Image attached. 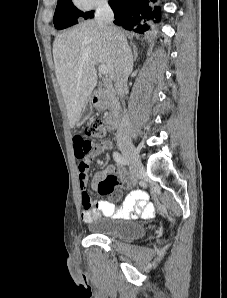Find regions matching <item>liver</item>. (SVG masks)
I'll return each instance as SVG.
<instances>
[{
	"label": "liver",
	"instance_id": "6515ba94",
	"mask_svg": "<svg viewBox=\"0 0 227 298\" xmlns=\"http://www.w3.org/2000/svg\"><path fill=\"white\" fill-rule=\"evenodd\" d=\"M53 58L69 125L74 128L97 84L95 65H105L111 80L116 81L113 42L96 21L87 20L56 36Z\"/></svg>",
	"mask_w": 227,
	"mask_h": 298
}]
</instances>
